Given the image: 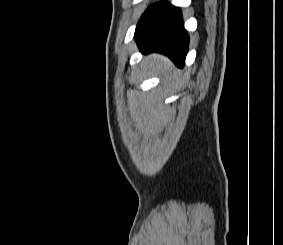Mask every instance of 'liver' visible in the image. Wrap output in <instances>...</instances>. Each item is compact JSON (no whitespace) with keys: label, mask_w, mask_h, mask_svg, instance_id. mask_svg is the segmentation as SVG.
Segmentation results:
<instances>
[{"label":"liver","mask_w":283,"mask_h":245,"mask_svg":"<svg viewBox=\"0 0 283 245\" xmlns=\"http://www.w3.org/2000/svg\"><path fill=\"white\" fill-rule=\"evenodd\" d=\"M148 61L151 65H156V68L162 73H168L172 69L171 62L165 57L150 55Z\"/></svg>","instance_id":"6515ba94"}]
</instances>
